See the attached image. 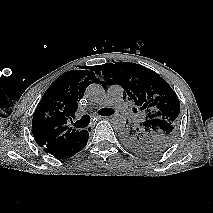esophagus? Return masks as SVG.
I'll return each instance as SVG.
<instances>
[{
    "mask_svg": "<svg viewBox=\"0 0 213 213\" xmlns=\"http://www.w3.org/2000/svg\"><path fill=\"white\" fill-rule=\"evenodd\" d=\"M103 118H105V117H103V116H96V117H95L96 120H101V119H103ZM92 128H93V123H92L89 127H87V130H90V129H92Z\"/></svg>",
    "mask_w": 213,
    "mask_h": 213,
    "instance_id": "obj_1",
    "label": "esophagus"
}]
</instances>
